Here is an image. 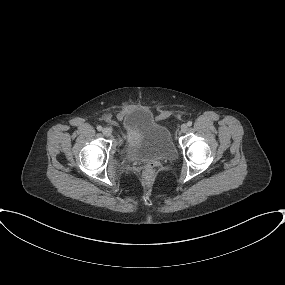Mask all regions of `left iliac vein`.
<instances>
[{
    "label": "left iliac vein",
    "mask_w": 285,
    "mask_h": 285,
    "mask_svg": "<svg viewBox=\"0 0 285 285\" xmlns=\"http://www.w3.org/2000/svg\"><path fill=\"white\" fill-rule=\"evenodd\" d=\"M180 129H181V132H183V133H184V132H186V131H187L188 126H187L186 124H182Z\"/></svg>",
    "instance_id": "1"
}]
</instances>
